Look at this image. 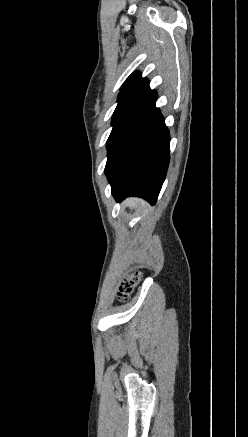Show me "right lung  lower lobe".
<instances>
[{
	"instance_id": "1",
	"label": "right lung lower lobe",
	"mask_w": 248,
	"mask_h": 437,
	"mask_svg": "<svg viewBox=\"0 0 248 437\" xmlns=\"http://www.w3.org/2000/svg\"><path fill=\"white\" fill-rule=\"evenodd\" d=\"M147 87L108 146L105 174L117 202L128 196L155 204L169 165L170 135Z\"/></svg>"
}]
</instances>
